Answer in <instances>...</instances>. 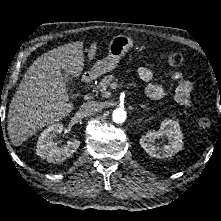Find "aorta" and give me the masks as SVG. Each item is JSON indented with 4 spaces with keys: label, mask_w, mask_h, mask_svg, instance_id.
<instances>
[{
    "label": "aorta",
    "mask_w": 221,
    "mask_h": 221,
    "mask_svg": "<svg viewBox=\"0 0 221 221\" xmlns=\"http://www.w3.org/2000/svg\"><path fill=\"white\" fill-rule=\"evenodd\" d=\"M112 119L115 123L122 124L126 120V111L121 108H117L112 113Z\"/></svg>",
    "instance_id": "1"
}]
</instances>
